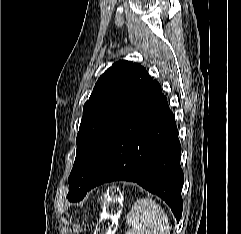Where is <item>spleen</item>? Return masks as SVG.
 <instances>
[{
    "mask_svg": "<svg viewBox=\"0 0 241 234\" xmlns=\"http://www.w3.org/2000/svg\"><path fill=\"white\" fill-rule=\"evenodd\" d=\"M125 234H170V223L161 206L152 199L137 200L127 216Z\"/></svg>",
    "mask_w": 241,
    "mask_h": 234,
    "instance_id": "3e777b00",
    "label": "spleen"
}]
</instances>
